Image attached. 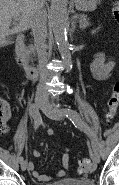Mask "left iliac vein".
<instances>
[{
  "label": "left iliac vein",
  "instance_id": "left-iliac-vein-1",
  "mask_svg": "<svg viewBox=\"0 0 119 185\" xmlns=\"http://www.w3.org/2000/svg\"><path fill=\"white\" fill-rule=\"evenodd\" d=\"M44 113L51 119L55 120H63L65 119V113L63 110L60 109H54L50 106L49 103H46L43 107ZM91 158L94 163H99L100 162V155L97 150H93L91 154Z\"/></svg>",
  "mask_w": 119,
  "mask_h": 185
}]
</instances>
